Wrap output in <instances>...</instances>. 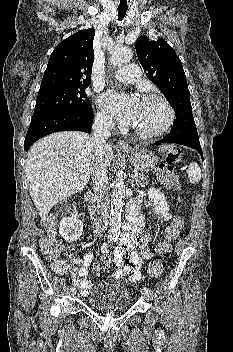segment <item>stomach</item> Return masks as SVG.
I'll return each instance as SVG.
<instances>
[{"mask_svg": "<svg viewBox=\"0 0 233 352\" xmlns=\"http://www.w3.org/2000/svg\"><path fill=\"white\" fill-rule=\"evenodd\" d=\"M124 153L128 156L135 169L142 172L153 170L158 164V157L147 149H130Z\"/></svg>", "mask_w": 233, "mask_h": 352, "instance_id": "0dacf381", "label": "stomach"}]
</instances>
